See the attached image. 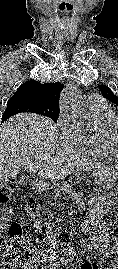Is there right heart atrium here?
<instances>
[{
    "mask_svg": "<svg viewBox=\"0 0 118 269\" xmlns=\"http://www.w3.org/2000/svg\"><path fill=\"white\" fill-rule=\"evenodd\" d=\"M61 126L64 129L69 141L75 146L80 144L87 135V133L81 129L77 122L69 115H62Z\"/></svg>",
    "mask_w": 118,
    "mask_h": 269,
    "instance_id": "d8ad5b80",
    "label": "right heart atrium"
}]
</instances>
